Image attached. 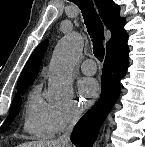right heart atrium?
I'll use <instances>...</instances> for the list:
<instances>
[{
  "label": "right heart atrium",
  "mask_w": 145,
  "mask_h": 147,
  "mask_svg": "<svg viewBox=\"0 0 145 147\" xmlns=\"http://www.w3.org/2000/svg\"><path fill=\"white\" fill-rule=\"evenodd\" d=\"M82 115L80 104L71 102L65 107L56 108L53 114L54 133H61L75 124Z\"/></svg>",
  "instance_id": "obj_1"
}]
</instances>
